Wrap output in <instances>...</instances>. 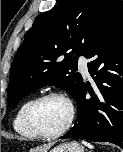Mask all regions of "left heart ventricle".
<instances>
[{
    "label": "left heart ventricle",
    "instance_id": "left-heart-ventricle-1",
    "mask_svg": "<svg viewBox=\"0 0 123 152\" xmlns=\"http://www.w3.org/2000/svg\"><path fill=\"white\" fill-rule=\"evenodd\" d=\"M69 118L68 105L61 99L51 98L42 102L36 112V123L45 132L60 130Z\"/></svg>",
    "mask_w": 123,
    "mask_h": 152
}]
</instances>
